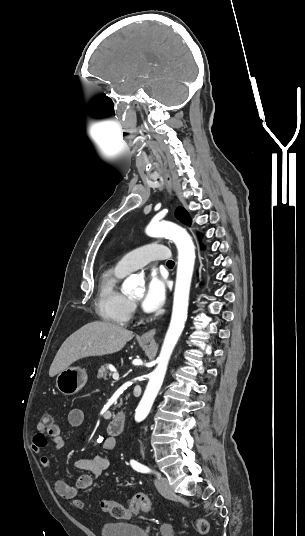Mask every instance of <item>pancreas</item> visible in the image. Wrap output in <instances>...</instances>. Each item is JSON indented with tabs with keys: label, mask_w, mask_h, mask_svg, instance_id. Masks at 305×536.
Instances as JSON below:
<instances>
[{
	"label": "pancreas",
	"mask_w": 305,
	"mask_h": 536,
	"mask_svg": "<svg viewBox=\"0 0 305 536\" xmlns=\"http://www.w3.org/2000/svg\"><path fill=\"white\" fill-rule=\"evenodd\" d=\"M112 372L110 370V366L108 364H105V366H101L97 378H100V380H108V378H111Z\"/></svg>",
	"instance_id": "1"
}]
</instances>
